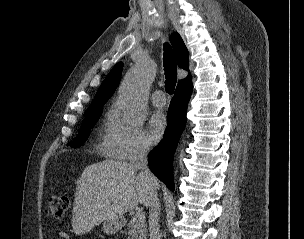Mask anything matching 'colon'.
<instances>
[{
    "label": "colon",
    "instance_id": "1",
    "mask_svg": "<svg viewBox=\"0 0 304 239\" xmlns=\"http://www.w3.org/2000/svg\"><path fill=\"white\" fill-rule=\"evenodd\" d=\"M51 213L56 218H61L69 209L70 201L66 196L53 195L48 200Z\"/></svg>",
    "mask_w": 304,
    "mask_h": 239
}]
</instances>
